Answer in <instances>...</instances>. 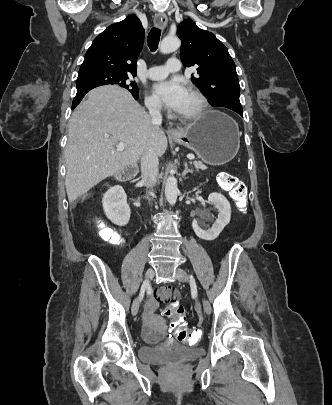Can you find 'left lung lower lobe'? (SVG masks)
Instances as JSON below:
<instances>
[{
  "label": "left lung lower lobe",
  "instance_id": "left-lung-lower-lobe-1",
  "mask_svg": "<svg viewBox=\"0 0 332 405\" xmlns=\"http://www.w3.org/2000/svg\"><path fill=\"white\" fill-rule=\"evenodd\" d=\"M235 112H237V113H239V114H243L242 107H241L240 109H238V110H235Z\"/></svg>",
  "mask_w": 332,
  "mask_h": 405
}]
</instances>
